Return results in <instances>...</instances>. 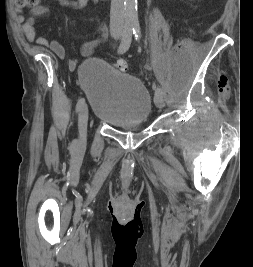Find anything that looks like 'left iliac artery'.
Here are the masks:
<instances>
[{
    "instance_id": "44dca946",
    "label": "left iliac artery",
    "mask_w": 253,
    "mask_h": 267,
    "mask_svg": "<svg viewBox=\"0 0 253 267\" xmlns=\"http://www.w3.org/2000/svg\"><path fill=\"white\" fill-rule=\"evenodd\" d=\"M133 34H134L136 40H140L141 30H140L139 26H137V27H135L133 29ZM153 88L155 90V95L158 94V93H162L163 94V90L161 88H159L158 86L154 85Z\"/></svg>"
}]
</instances>
